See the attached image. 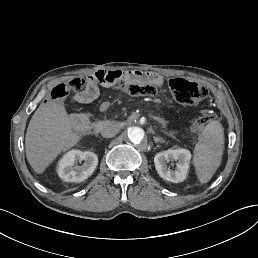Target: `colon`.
Instances as JSON below:
<instances>
[{"instance_id": "colon-1", "label": "colon", "mask_w": 258, "mask_h": 258, "mask_svg": "<svg viewBox=\"0 0 258 258\" xmlns=\"http://www.w3.org/2000/svg\"><path fill=\"white\" fill-rule=\"evenodd\" d=\"M84 77H76L72 80L58 84L51 92V98L54 100L65 98L71 91L83 90L86 86ZM119 88L133 96H151L155 94L156 89L151 84L142 81L130 79L123 82ZM169 88L174 98L183 105H195L203 101L207 96L206 88L198 83L190 82L182 78H173L169 80ZM215 115L212 113L203 115L194 120L191 130L197 132L206 124L214 120Z\"/></svg>"}]
</instances>
